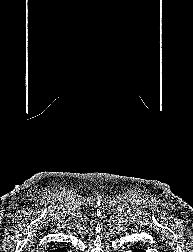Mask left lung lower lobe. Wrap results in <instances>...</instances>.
Wrapping results in <instances>:
<instances>
[{"label": "left lung lower lobe", "mask_w": 193, "mask_h": 252, "mask_svg": "<svg viewBox=\"0 0 193 252\" xmlns=\"http://www.w3.org/2000/svg\"><path fill=\"white\" fill-rule=\"evenodd\" d=\"M135 252H144V251L141 249H136Z\"/></svg>", "instance_id": "obj_1"}]
</instances>
